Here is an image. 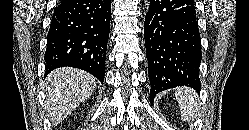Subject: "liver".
<instances>
[{"label": "liver", "mask_w": 249, "mask_h": 130, "mask_svg": "<svg viewBox=\"0 0 249 130\" xmlns=\"http://www.w3.org/2000/svg\"><path fill=\"white\" fill-rule=\"evenodd\" d=\"M97 84L95 77L75 68H58L46 78L45 110L53 125L61 122L84 100Z\"/></svg>", "instance_id": "6515ba94"}]
</instances>
